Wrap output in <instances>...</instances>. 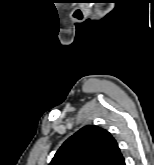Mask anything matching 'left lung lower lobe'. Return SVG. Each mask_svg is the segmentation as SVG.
I'll list each match as a JSON object with an SVG mask.
<instances>
[{"label":"left lung lower lobe","mask_w":154,"mask_h":165,"mask_svg":"<svg viewBox=\"0 0 154 165\" xmlns=\"http://www.w3.org/2000/svg\"><path fill=\"white\" fill-rule=\"evenodd\" d=\"M118 165H125L124 159L122 158V160L118 163Z\"/></svg>","instance_id":"left-lung-lower-lobe-1"}]
</instances>
